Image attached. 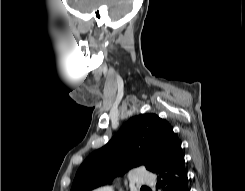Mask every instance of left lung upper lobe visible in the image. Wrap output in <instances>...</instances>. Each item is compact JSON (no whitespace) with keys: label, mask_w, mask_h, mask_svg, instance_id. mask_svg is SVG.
<instances>
[{"label":"left lung upper lobe","mask_w":245,"mask_h":191,"mask_svg":"<svg viewBox=\"0 0 245 191\" xmlns=\"http://www.w3.org/2000/svg\"><path fill=\"white\" fill-rule=\"evenodd\" d=\"M179 148V139L167 121L152 113L134 116L104 147L85 159L71 191H90L138 166L156 173Z\"/></svg>","instance_id":"1"}]
</instances>
